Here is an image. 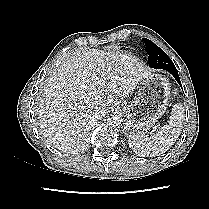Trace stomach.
<instances>
[{
    "label": "stomach",
    "mask_w": 209,
    "mask_h": 209,
    "mask_svg": "<svg viewBox=\"0 0 209 209\" xmlns=\"http://www.w3.org/2000/svg\"><path fill=\"white\" fill-rule=\"evenodd\" d=\"M170 95V84L160 74H149L142 81L134 101L122 104L126 115L125 131L144 132L150 129L165 113Z\"/></svg>",
    "instance_id": "stomach-1"
}]
</instances>
